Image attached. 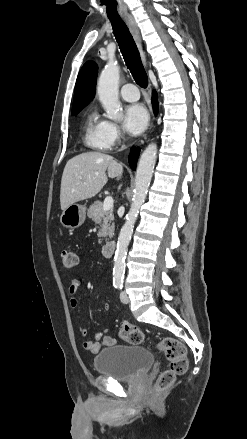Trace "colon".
Masks as SVG:
<instances>
[{"instance_id": "obj_1", "label": "colon", "mask_w": 247, "mask_h": 439, "mask_svg": "<svg viewBox=\"0 0 247 439\" xmlns=\"http://www.w3.org/2000/svg\"><path fill=\"white\" fill-rule=\"evenodd\" d=\"M78 263L77 255L70 250L63 252V264L65 267L72 268ZM121 339L132 344L140 345L145 340V335L137 326L124 323L120 328ZM157 349L164 352L168 361V367L158 378L157 387L164 389L170 386L178 375L186 372L188 359L186 348L182 342L173 338H165L157 344Z\"/></svg>"}]
</instances>
